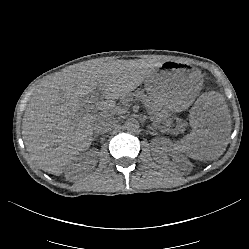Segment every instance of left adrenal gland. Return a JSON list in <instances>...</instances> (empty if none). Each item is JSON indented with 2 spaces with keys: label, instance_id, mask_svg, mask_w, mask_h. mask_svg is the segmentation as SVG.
<instances>
[{
  "label": "left adrenal gland",
  "instance_id": "left-adrenal-gland-1",
  "mask_svg": "<svg viewBox=\"0 0 249 249\" xmlns=\"http://www.w3.org/2000/svg\"><path fill=\"white\" fill-rule=\"evenodd\" d=\"M157 127H155L154 125H151V126H148V130H151V131H155Z\"/></svg>",
  "mask_w": 249,
  "mask_h": 249
}]
</instances>
